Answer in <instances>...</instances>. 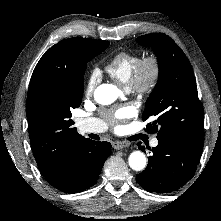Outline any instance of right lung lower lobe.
<instances>
[{"label":"right lung lower lobe","instance_id":"obj_1","mask_svg":"<svg viewBox=\"0 0 221 221\" xmlns=\"http://www.w3.org/2000/svg\"><path fill=\"white\" fill-rule=\"evenodd\" d=\"M111 152L109 142L84 139L64 156L59 173L47 180L65 193H77L92 187Z\"/></svg>","mask_w":221,"mask_h":221}]
</instances>
